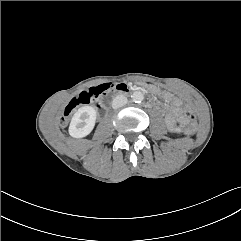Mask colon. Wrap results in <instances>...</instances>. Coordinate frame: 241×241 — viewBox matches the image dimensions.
Here are the masks:
<instances>
[{
	"label": "colon",
	"instance_id": "1",
	"mask_svg": "<svg viewBox=\"0 0 241 241\" xmlns=\"http://www.w3.org/2000/svg\"><path fill=\"white\" fill-rule=\"evenodd\" d=\"M111 87L112 85L110 83H105L98 86L90 87L89 89L82 91L77 97L73 98L64 108L61 123L64 124L78 107L97 101L103 94L109 91ZM183 115L184 118L188 120V127H184L182 129V134L184 136H189L191 132L194 133L197 131L198 120L190 107H186L184 109Z\"/></svg>",
	"mask_w": 241,
	"mask_h": 241
}]
</instances>
